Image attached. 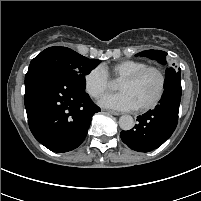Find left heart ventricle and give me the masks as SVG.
I'll return each instance as SVG.
<instances>
[{
	"mask_svg": "<svg viewBox=\"0 0 201 201\" xmlns=\"http://www.w3.org/2000/svg\"><path fill=\"white\" fill-rule=\"evenodd\" d=\"M158 88L159 78L153 71L145 73L134 82L120 81L118 84L119 91L128 93L137 107L150 102L157 94Z\"/></svg>",
	"mask_w": 201,
	"mask_h": 201,
	"instance_id": "left-heart-ventricle-1",
	"label": "left heart ventricle"
}]
</instances>
